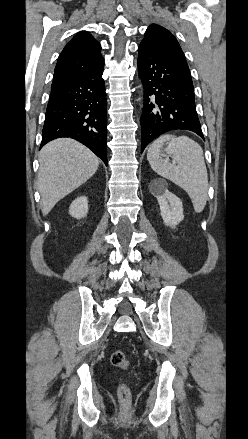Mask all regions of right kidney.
<instances>
[{"mask_svg":"<svg viewBox=\"0 0 248 439\" xmlns=\"http://www.w3.org/2000/svg\"><path fill=\"white\" fill-rule=\"evenodd\" d=\"M88 213V198L86 196L77 197L70 205L69 214L81 219L87 216Z\"/></svg>","mask_w":248,"mask_h":439,"instance_id":"ca27d5eb","label":"right kidney"}]
</instances>
